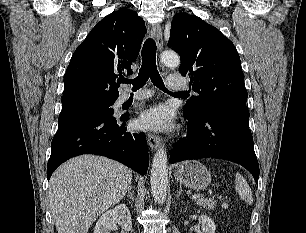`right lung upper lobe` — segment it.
I'll use <instances>...</instances> for the list:
<instances>
[{"mask_svg": "<svg viewBox=\"0 0 306 233\" xmlns=\"http://www.w3.org/2000/svg\"><path fill=\"white\" fill-rule=\"evenodd\" d=\"M145 22L136 12L121 8L104 17L75 50L64 77L62 104L94 99L115 101L122 73L132 74Z\"/></svg>", "mask_w": 306, "mask_h": 233, "instance_id": "1", "label": "right lung upper lobe"}]
</instances>
